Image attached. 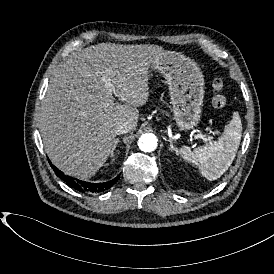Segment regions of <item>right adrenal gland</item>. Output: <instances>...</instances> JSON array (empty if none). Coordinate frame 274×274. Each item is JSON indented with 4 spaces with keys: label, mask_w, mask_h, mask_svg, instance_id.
I'll return each mask as SVG.
<instances>
[{
    "label": "right adrenal gland",
    "mask_w": 274,
    "mask_h": 274,
    "mask_svg": "<svg viewBox=\"0 0 274 274\" xmlns=\"http://www.w3.org/2000/svg\"><path fill=\"white\" fill-rule=\"evenodd\" d=\"M117 144H118V140H116V145H115V147H114L113 150H112V154H114V151H115V149H116ZM114 156H115V155H114Z\"/></svg>",
    "instance_id": "2a0ac1e0"
}]
</instances>
